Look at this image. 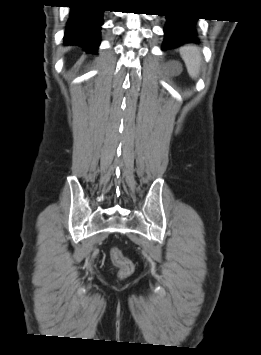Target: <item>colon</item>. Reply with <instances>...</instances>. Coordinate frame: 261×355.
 Masks as SVG:
<instances>
[{"instance_id":"colon-1","label":"colon","mask_w":261,"mask_h":355,"mask_svg":"<svg viewBox=\"0 0 261 355\" xmlns=\"http://www.w3.org/2000/svg\"><path fill=\"white\" fill-rule=\"evenodd\" d=\"M110 258L113 264L119 268V275L121 277L129 276L133 272V263L118 248L114 247L110 250Z\"/></svg>"}]
</instances>
